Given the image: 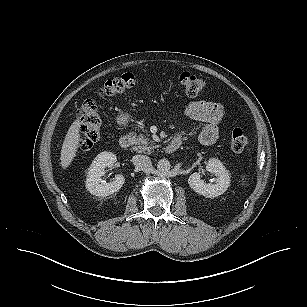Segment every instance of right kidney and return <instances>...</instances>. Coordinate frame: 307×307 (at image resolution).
I'll use <instances>...</instances> for the list:
<instances>
[{"mask_svg":"<svg viewBox=\"0 0 307 307\" xmlns=\"http://www.w3.org/2000/svg\"><path fill=\"white\" fill-rule=\"evenodd\" d=\"M116 161V155L112 152L104 151L95 157L87 173L85 185L91 194L106 197L120 190L125 182L122 174H117L110 183H100V178L105 174V168L112 167Z\"/></svg>","mask_w":307,"mask_h":307,"instance_id":"right-kidney-1","label":"right kidney"}]
</instances>
